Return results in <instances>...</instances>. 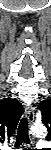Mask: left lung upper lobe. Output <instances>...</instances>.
Listing matches in <instances>:
<instances>
[{
	"label": "left lung upper lobe",
	"instance_id": "5c2ea615",
	"mask_svg": "<svg viewBox=\"0 0 51 150\" xmlns=\"http://www.w3.org/2000/svg\"><path fill=\"white\" fill-rule=\"evenodd\" d=\"M38 109L41 111V117L43 124L48 128L49 134L47 136V140L50 138V132H51V101L46 100L42 101Z\"/></svg>",
	"mask_w": 51,
	"mask_h": 150
}]
</instances>
